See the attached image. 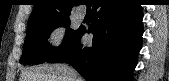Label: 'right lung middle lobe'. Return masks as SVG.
<instances>
[{
    "instance_id": "obj_1",
    "label": "right lung middle lobe",
    "mask_w": 169,
    "mask_h": 81,
    "mask_svg": "<svg viewBox=\"0 0 169 81\" xmlns=\"http://www.w3.org/2000/svg\"><path fill=\"white\" fill-rule=\"evenodd\" d=\"M68 16L37 21L29 24L27 27V35L20 63L28 65L47 62L48 59H50L54 54L61 50L67 43H69L76 36L79 29L73 30L67 28L61 47H52L47 42L50 33L56 27L69 26L70 19L68 18Z\"/></svg>"
}]
</instances>
